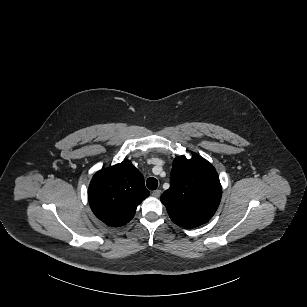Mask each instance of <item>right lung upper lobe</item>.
<instances>
[{"label":"right lung upper lobe","instance_id":"cb5924a9","mask_svg":"<svg viewBox=\"0 0 307 307\" xmlns=\"http://www.w3.org/2000/svg\"><path fill=\"white\" fill-rule=\"evenodd\" d=\"M149 194L140 171L125 160L94 175L88 199L96 217L116 227L128 223Z\"/></svg>","mask_w":307,"mask_h":307}]
</instances>
